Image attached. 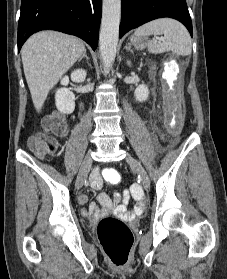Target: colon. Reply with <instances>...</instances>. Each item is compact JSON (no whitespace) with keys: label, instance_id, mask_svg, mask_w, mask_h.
<instances>
[{"label":"colon","instance_id":"5ec220e1","mask_svg":"<svg viewBox=\"0 0 227 279\" xmlns=\"http://www.w3.org/2000/svg\"><path fill=\"white\" fill-rule=\"evenodd\" d=\"M181 106L184 108L182 101ZM43 123L46 127H51L55 133H61L65 129V123L55 116L45 118ZM28 145L40 157L54 152L58 147L53 138L44 135L30 138ZM105 179L111 183H119L121 174L114 169L105 173ZM97 236L102 249L113 264L124 266L128 262L133 235L125 222L111 217L104 218L98 225Z\"/></svg>","mask_w":227,"mask_h":279}]
</instances>
